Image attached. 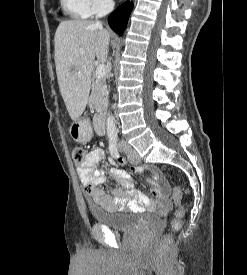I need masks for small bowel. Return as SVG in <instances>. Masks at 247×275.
<instances>
[{"label": "small bowel", "instance_id": "small-bowel-1", "mask_svg": "<svg viewBox=\"0 0 247 275\" xmlns=\"http://www.w3.org/2000/svg\"><path fill=\"white\" fill-rule=\"evenodd\" d=\"M103 158V149L94 148L87 153L85 159L77 166L79 179L95 205L109 212L127 209L138 210L143 207L154 208L155 203L145 193L135 189L132 177L123 169H111V175L120 187L110 191L103 190L101 186L106 181V174L96 168ZM119 162L123 163L124 160L120 159ZM145 170L146 168L143 166L134 167L136 173H143ZM151 172L155 180V183H151V193L155 197L157 205L166 211L171 206L168 196L169 186L158 169L151 168Z\"/></svg>", "mask_w": 247, "mask_h": 275}]
</instances>
